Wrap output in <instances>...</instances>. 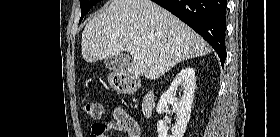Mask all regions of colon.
<instances>
[{
	"label": "colon",
	"mask_w": 280,
	"mask_h": 137,
	"mask_svg": "<svg viewBox=\"0 0 280 137\" xmlns=\"http://www.w3.org/2000/svg\"><path fill=\"white\" fill-rule=\"evenodd\" d=\"M85 111L91 118L98 119L103 113V106L100 102L90 101L85 104ZM125 123L129 126L132 134L137 133V128L131 119L126 118Z\"/></svg>",
	"instance_id": "obj_1"
}]
</instances>
